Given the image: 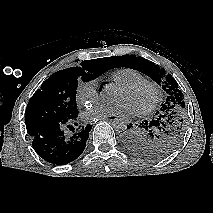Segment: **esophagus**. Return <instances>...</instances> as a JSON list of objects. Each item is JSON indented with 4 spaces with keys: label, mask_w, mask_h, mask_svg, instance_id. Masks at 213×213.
<instances>
[{
    "label": "esophagus",
    "mask_w": 213,
    "mask_h": 213,
    "mask_svg": "<svg viewBox=\"0 0 213 213\" xmlns=\"http://www.w3.org/2000/svg\"><path fill=\"white\" fill-rule=\"evenodd\" d=\"M117 119H118V116H109V117L101 118V119H98V120L114 121V120H117Z\"/></svg>",
    "instance_id": "1"
}]
</instances>
